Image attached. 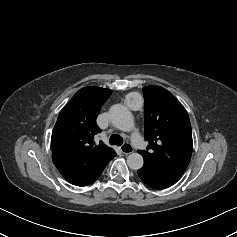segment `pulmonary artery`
Here are the masks:
<instances>
[{"instance_id": "1", "label": "pulmonary artery", "mask_w": 237, "mask_h": 237, "mask_svg": "<svg viewBox=\"0 0 237 237\" xmlns=\"http://www.w3.org/2000/svg\"><path fill=\"white\" fill-rule=\"evenodd\" d=\"M132 143L134 144V146L140 148L141 150L145 149L144 148V143L139 140L138 136H133L132 137Z\"/></svg>"}]
</instances>
